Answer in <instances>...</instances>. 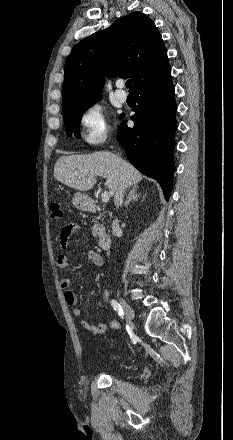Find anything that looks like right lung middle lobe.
<instances>
[{"label": "right lung middle lobe", "instance_id": "right-lung-middle-lobe-1", "mask_svg": "<svg viewBox=\"0 0 233 440\" xmlns=\"http://www.w3.org/2000/svg\"><path fill=\"white\" fill-rule=\"evenodd\" d=\"M98 100H100V98L67 106L62 109L66 132L68 136L73 133L77 138H80L79 124L81 122L82 115L91 105H93Z\"/></svg>", "mask_w": 233, "mask_h": 440}]
</instances>
